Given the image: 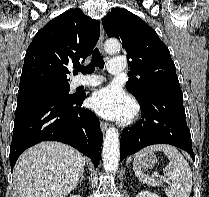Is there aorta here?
I'll list each match as a JSON object with an SVG mask.
<instances>
[{"instance_id": "1", "label": "aorta", "mask_w": 209, "mask_h": 197, "mask_svg": "<svg viewBox=\"0 0 209 197\" xmlns=\"http://www.w3.org/2000/svg\"><path fill=\"white\" fill-rule=\"evenodd\" d=\"M105 51L110 54H115L120 51V42L116 39H109L105 42ZM120 147L119 133L115 127L107 130L103 142L102 157L103 166L107 173H115L119 164Z\"/></svg>"}]
</instances>
